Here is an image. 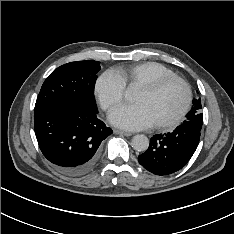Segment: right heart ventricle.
<instances>
[{"label": "right heart ventricle", "instance_id": "right-heart-ventricle-1", "mask_svg": "<svg viewBox=\"0 0 234 234\" xmlns=\"http://www.w3.org/2000/svg\"><path fill=\"white\" fill-rule=\"evenodd\" d=\"M113 72L128 88H138L164 77L176 76L171 69L155 62L117 67Z\"/></svg>", "mask_w": 234, "mask_h": 234}]
</instances>
